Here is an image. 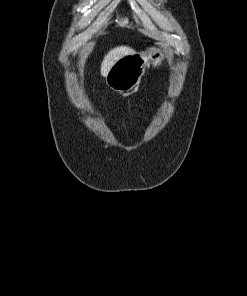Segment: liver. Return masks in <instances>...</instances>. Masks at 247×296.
Returning <instances> with one entry per match:
<instances>
[{"label":"liver","instance_id":"obj_1","mask_svg":"<svg viewBox=\"0 0 247 296\" xmlns=\"http://www.w3.org/2000/svg\"><path fill=\"white\" fill-rule=\"evenodd\" d=\"M131 53H134V50L127 46H119L114 49H111L104 56V59L101 63V75L105 77L110 68L114 65V63L117 60Z\"/></svg>","mask_w":247,"mask_h":296}]
</instances>
